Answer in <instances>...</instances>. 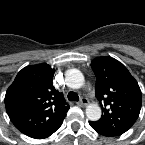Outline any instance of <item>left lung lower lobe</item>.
I'll list each match as a JSON object with an SVG mask.
<instances>
[{"label":"left lung lower lobe","instance_id":"1","mask_svg":"<svg viewBox=\"0 0 145 145\" xmlns=\"http://www.w3.org/2000/svg\"><path fill=\"white\" fill-rule=\"evenodd\" d=\"M89 124H90V126H91L96 132H98L99 134H101V135H103V136H107V137H112L111 135H109V134H107V133H104V132L98 130L94 125H92L91 122H89Z\"/></svg>","mask_w":145,"mask_h":145}]
</instances>
